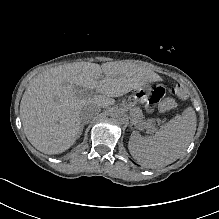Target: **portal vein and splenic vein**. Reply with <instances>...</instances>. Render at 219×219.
I'll return each instance as SVG.
<instances>
[{
  "label": "portal vein and splenic vein",
  "instance_id": "obj_1",
  "mask_svg": "<svg viewBox=\"0 0 219 219\" xmlns=\"http://www.w3.org/2000/svg\"><path fill=\"white\" fill-rule=\"evenodd\" d=\"M86 95H87V96H88V95H91V93H88V94H86ZM84 96H85V95H83V94H76V95H75L76 98H83Z\"/></svg>",
  "mask_w": 219,
  "mask_h": 219
}]
</instances>
